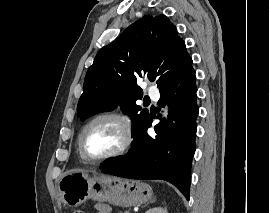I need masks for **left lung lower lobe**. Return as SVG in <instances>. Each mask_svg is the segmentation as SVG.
Returning a JSON list of instances; mask_svg holds the SVG:
<instances>
[{
  "label": "left lung lower lobe",
  "instance_id": "0a47b994",
  "mask_svg": "<svg viewBox=\"0 0 270 213\" xmlns=\"http://www.w3.org/2000/svg\"><path fill=\"white\" fill-rule=\"evenodd\" d=\"M191 67L160 89L163 105L170 107L168 119L155 126L157 135L150 137L149 117L134 131L132 150L110 159L100 169L103 173L132 179H161L175 185L189 200L190 172L195 152L197 88Z\"/></svg>",
  "mask_w": 270,
  "mask_h": 213
}]
</instances>
